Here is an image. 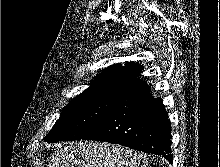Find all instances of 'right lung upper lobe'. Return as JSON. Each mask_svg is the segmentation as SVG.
I'll use <instances>...</instances> for the list:
<instances>
[{"mask_svg":"<svg viewBox=\"0 0 220 167\" xmlns=\"http://www.w3.org/2000/svg\"><path fill=\"white\" fill-rule=\"evenodd\" d=\"M143 67L138 63L128 62L125 66L114 64L105 68L91 86L72 100L102 97L116 99L121 95L147 86L138 76Z\"/></svg>","mask_w":220,"mask_h":167,"instance_id":"obj_1","label":"right lung upper lobe"}]
</instances>
